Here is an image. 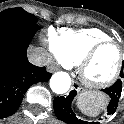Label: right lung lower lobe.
Listing matches in <instances>:
<instances>
[{
	"label": "right lung lower lobe",
	"instance_id": "obj_1",
	"mask_svg": "<svg viewBox=\"0 0 124 124\" xmlns=\"http://www.w3.org/2000/svg\"><path fill=\"white\" fill-rule=\"evenodd\" d=\"M39 29L37 24L0 27V119L16 112L31 85L52 75L27 59L29 43Z\"/></svg>",
	"mask_w": 124,
	"mask_h": 124
}]
</instances>
